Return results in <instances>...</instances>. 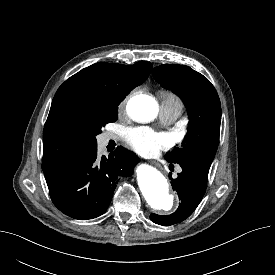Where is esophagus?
Masks as SVG:
<instances>
[{
  "mask_svg": "<svg viewBox=\"0 0 275 275\" xmlns=\"http://www.w3.org/2000/svg\"><path fill=\"white\" fill-rule=\"evenodd\" d=\"M153 164H157L155 161L152 162Z\"/></svg>",
  "mask_w": 275,
  "mask_h": 275,
  "instance_id": "obj_1",
  "label": "esophagus"
}]
</instances>
